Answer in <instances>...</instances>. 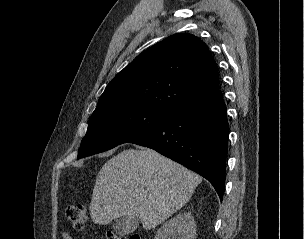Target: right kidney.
<instances>
[{
    "label": "right kidney",
    "mask_w": 304,
    "mask_h": 239,
    "mask_svg": "<svg viewBox=\"0 0 304 239\" xmlns=\"http://www.w3.org/2000/svg\"><path fill=\"white\" fill-rule=\"evenodd\" d=\"M154 239H196V223L190 212L180 213L161 226Z\"/></svg>",
    "instance_id": "ca27d5eb"
}]
</instances>
